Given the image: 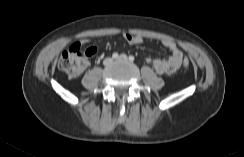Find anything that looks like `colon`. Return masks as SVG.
I'll return each instance as SVG.
<instances>
[{
    "instance_id": "5ec220e1",
    "label": "colon",
    "mask_w": 244,
    "mask_h": 157,
    "mask_svg": "<svg viewBox=\"0 0 244 157\" xmlns=\"http://www.w3.org/2000/svg\"><path fill=\"white\" fill-rule=\"evenodd\" d=\"M94 52V48L82 49L79 43H75L62 53L58 61V67L70 78H76L86 68L88 58L92 56ZM182 65L185 68L190 65L188 57H184Z\"/></svg>"
}]
</instances>
